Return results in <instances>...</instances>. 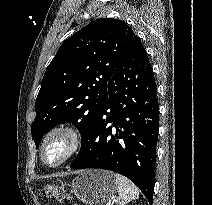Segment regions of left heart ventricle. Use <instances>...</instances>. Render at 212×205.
Here are the masks:
<instances>
[{
	"mask_svg": "<svg viewBox=\"0 0 212 205\" xmlns=\"http://www.w3.org/2000/svg\"><path fill=\"white\" fill-rule=\"evenodd\" d=\"M65 150V143L61 139L53 140L46 149V158L48 161L53 162L61 157Z\"/></svg>",
	"mask_w": 212,
	"mask_h": 205,
	"instance_id": "b2bd125f",
	"label": "left heart ventricle"
}]
</instances>
